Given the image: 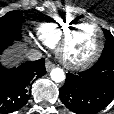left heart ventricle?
<instances>
[{
	"label": "left heart ventricle",
	"mask_w": 114,
	"mask_h": 114,
	"mask_svg": "<svg viewBox=\"0 0 114 114\" xmlns=\"http://www.w3.org/2000/svg\"><path fill=\"white\" fill-rule=\"evenodd\" d=\"M98 35L92 24H84L76 31L67 54L72 59H83L89 56L96 48Z\"/></svg>",
	"instance_id": "b2bd125f"
}]
</instances>
